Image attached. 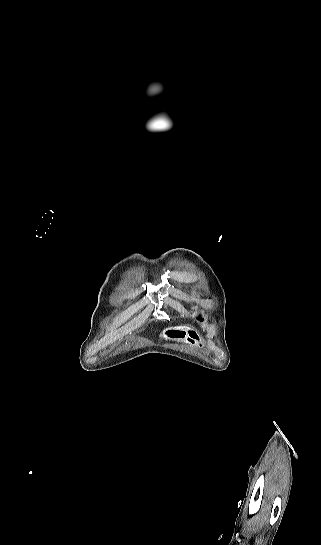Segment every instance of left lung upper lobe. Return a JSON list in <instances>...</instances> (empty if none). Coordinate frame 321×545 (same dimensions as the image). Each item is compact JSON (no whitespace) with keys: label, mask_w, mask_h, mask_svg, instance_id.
Segmentation results:
<instances>
[{"label":"left lung upper lobe","mask_w":321,"mask_h":545,"mask_svg":"<svg viewBox=\"0 0 321 545\" xmlns=\"http://www.w3.org/2000/svg\"><path fill=\"white\" fill-rule=\"evenodd\" d=\"M198 319H199L200 321H202L201 317H198Z\"/></svg>","instance_id":"left-lung-upper-lobe-1"}]
</instances>
